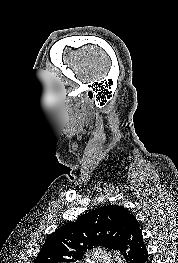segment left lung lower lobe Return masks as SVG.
<instances>
[{
	"instance_id": "1",
	"label": "left lung lower lobe",
	"mask_w": 178,
	"mask_h": 263,
	"mask_svg": "<svg viewBox=\"0 0 178 263\" xmlns=\"http://www.w3.org/2000/svg\"><path fill=\"white\" fill-rule=\"evenodd\" d=\"M128 263H150L141 229L134 215L131 216L118 247Z\"/></svg>"
}]
</instances>
